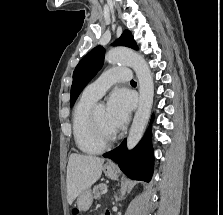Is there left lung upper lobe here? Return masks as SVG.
<instances>
[{
  "label": "left lung upper lobe",
  "mask_w": 223,
  "mask_h": 215,
  "mask_svg": "<svg viewBox=\"0 0 223 215\" xmlns=\"http://www.w3.org/2000/svg\"><path fill=\"white\" fill-rule=\"evenodd\" d=\"M115 45H123L138 49L130 31L125 30L121 37L116 41ZM105 50L102 46H98L84 56L73 73V83L71 87L70 106L72 107L83 88L96 75L102 67L104 61Z\"/></svg>",
  "instance_id": "left-lung-upper-lobe-1"
}]
</instances>
